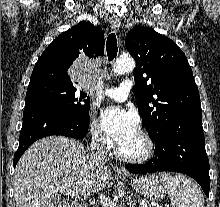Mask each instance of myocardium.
<instances>
[{
    "instance_id": "f54148a6",
    "label": "myocardium",
    "mask_w": 220,
    "mask_h": 207,
    "mask_svg": "<svg viewBox=\"0 0 220 207\" xmlns=\"http://www.w3.org/2000/svg\"><path fill=\"white\" fill-rule=\"evenodd\" d=\"M139 134L142 136L146 143V150L143 154L139 156H128L123 154L119 147L116 148L115 153L116 155L123 161L129 162V163H144L152 158L155 152V142L152 136L144 129L138 130Z\"/></svg>"
}]
</instances>
